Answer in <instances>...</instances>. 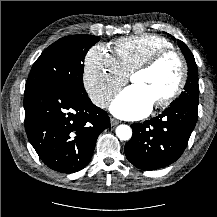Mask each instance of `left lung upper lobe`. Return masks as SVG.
Segmentation results:
<instances>
[{
	"label": "left lung upper lobe",
	"mask_w": 217,
	"mask_h": 217,
	"mask_svg": "<svg viewBox=\"0 0 217 217\" xmlns=\"http://www.w3.org/2000/svg\"><path fill=\"white\" fill-rule=\"evenodd\" d=\"M173 40L175 38L171 36ZM178 46L181 48L188 64V79L184 87V91L180 97L174 102L189 101L198 104L199 85H198V70L193 54L184 42L178 40ZM173 103V104H174Z\"/></svg>",
	"instance_id": "left-lung-upper-lobe-1"
}]
</instances>
